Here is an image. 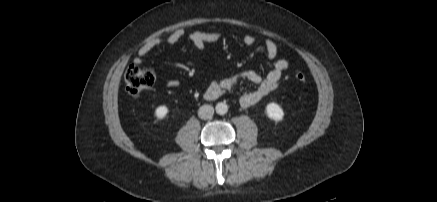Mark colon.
<instances>
[{
	"mask_svg": "<svg viewBox=\"0 0 437 202\" xmlns=\"http://www.w3.org/2000/svg\"><path fill=\"white\" fill-rule=\"evenodd\" d=\"M125 87L129 95L136 96L151 88L155 81L154 72L148 68H141L137 65H130L125 72ZM296 81L305 82L306 76L302 72L294 75Z\"/></svg>",
	"mask_w": 437,
	"mask_h": 202,
	"instance_id": "5ec220e1",
	"label": "colon"
}]
</instances>
